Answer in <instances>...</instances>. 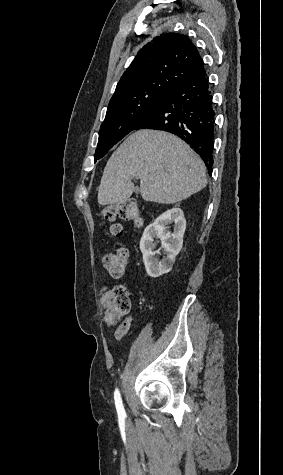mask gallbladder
<instances>
[{"instance_id":"bac80fb5","label":"gallbladder","mask_w":283,"mask_h":475,"mask_svg":"<svg viewBox=\"0 0 283 475\" xmlns=\"http://www.w3.org/2000/svg\"><path fill=\"white\" fill-rule=\"evenodd\" d=\"M134 192H136V194H139V188H135Z\"/></svg>"}]
</instances>
